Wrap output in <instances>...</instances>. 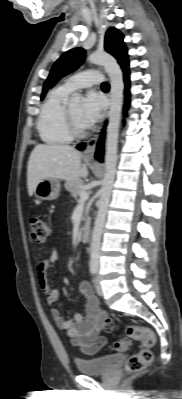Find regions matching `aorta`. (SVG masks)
<instances>
[{
	"label": "aorta",
	"instance_id": "aorta-1",
	"mask_svg": "<svg viewBox=\"0 0 182 399\" xmlns=\"http://www.w3.org/2000/svg\"><path fill=\"white\" fill-rule=\"evenodd\" d=\"M92 64L102 65L108 73L111 81L109 123L107 127L105 175L100 190L98 212L92 231L90 246V265L97 267L99 264L101 235L105 223L106 213L109 206L111 191L116 173L118 135L123 101V74L116 59L106 52H95L87 57ZM82 96L79 93L72 94L69 104L77 106L81 103Z\"/></svg>",
	"mask_w": 182,
	"mask_h": 399
}]
</instances>
